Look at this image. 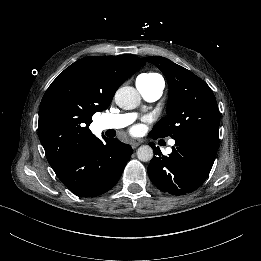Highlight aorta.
<instances>
[{"instance_id":"aorta-1","label":"aorta","mask_w":261,"mask_h":261,"mask_svg":"<svg viewBox=\"0 0 261 261\" xmlns=\"http://www.w3.org/2000/svg\"><path fill=\"white\" fill-rule=\"evenodd\" d=\"M140 95L134 87L124 86L115 93V103L122 109H135L140 104ZM137 158L142 162H149L153 158V149L149 145L140 146Z\"/></svg>"}]
</instances>
